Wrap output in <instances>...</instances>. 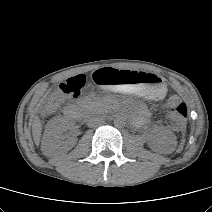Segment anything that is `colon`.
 <instances>
[{"label":"colon","mask_w":212,"mask_h":212,"mask_svg":"<svg viewBox=\"0 0 212 212\" xmlns=\"http://www.w3.org/2000/svg\"><path fill=\"white\" fill-rule=\"evenodd\" d=\"M86 83L87 77L82 74L61 82L50 97L47 110H54L67 97H78ZM166 105L172 120H174L178 126H181L188 116L187 104L178 95H172L168 98Z\"/></svg>","instance_id":"obj_1"}]
</instances>
